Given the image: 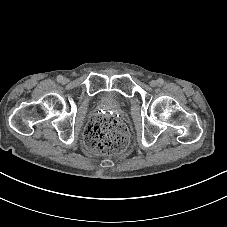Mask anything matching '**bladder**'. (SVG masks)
<instances>
[{
  "label": "bladder",
  "instance_id": "1",
  "mask_svg": "<svg viewBox=\"0 0 227 227\" xmlns=\"http://www.w3.org/2000/svg\"><path fill=\"white\" fill-rule=\"evenodd\" d=\"M97 99L104 106L124 107L129 102L122 93L109 90L98 93Z\"/></svg>",
  "mask_w": 227,
  "mask_h": 227
}]
</instances>
